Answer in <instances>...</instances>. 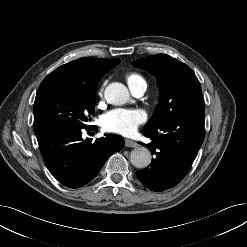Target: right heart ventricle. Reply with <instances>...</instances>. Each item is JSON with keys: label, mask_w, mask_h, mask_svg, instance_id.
<instances>
[{"label": "right heart ventricle", "mask_w": 247, "mask_h": 247, "mask_svg": "<svg viewBox=\"0 0 247 247\" xmlns=\"http://www.w3.org/2000/svg\"><path fill=\"white\" fill-rule=\"evenodd\" d=\"M126 80H127L129 87H134V86H137L143 83L146 84L144 78L140 74L135 73V72L128 73L126 75Z\"/></svg>", "instance_id": "right-heart-ventricle-1"}]
</instances>
